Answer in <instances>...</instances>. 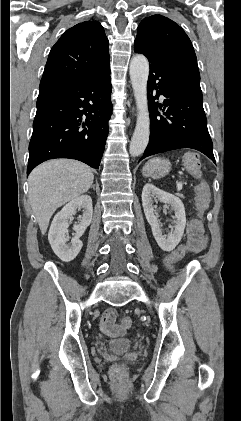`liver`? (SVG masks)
Wrapping results in <instances>:
<instances>
[{
	"mask_svg": "<svg viewBox=\"0 0 241 421\" xmlns=\"http://www.w3.org/2000/svg\"><path fill=\"white\" fill-rule=\"evenodd\" d=\"M93 180L89 166L71 159L47 161L30 173L29 201L42 234L56 209L87 192Z\"/></svg>",
	"mask_w": 241,
	"mask_h": 421,
	"instance_id": "liver-1",
	"label": "liver"
}]
</instances>
